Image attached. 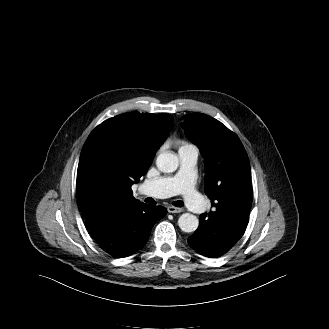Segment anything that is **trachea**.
<instances>
[{"label": "trachea", "mask_w": 329, "mask_h": 329, "mask_svg": "<svg viewBox=\"0 0 329 329\" xmlns=\"http://www.w3.org/2000/svg\"><path fill=\"white\" fill-rule=\"evenodd\" d=\"M146 202L149 203V200H147ZM173 205L176 207H183L184 203L182 201L178 200V201L173 202Z\"/></svg>", "instance_id": "1"}]
</instances>
